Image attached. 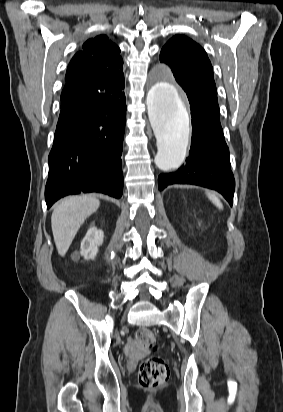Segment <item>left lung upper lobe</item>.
Segmentation results:
<instances>
[{"mask_svg": "<svg viewBox=\"0 0 283 412\" xmlns=\"http://www.w3.org/2000/svg\"><path fill=\"white\" fill-rule=\"evenodd\" d=\"M160 61L168 64L176 81L192 92L218 105L212 65L204 49L193 40L176 35L162 48Z\"/></svg>", "mask_w": 283, "mask_h": 412, "instance_id": "obj_1", "label": "left lung upper lobe"}]
</instances>
